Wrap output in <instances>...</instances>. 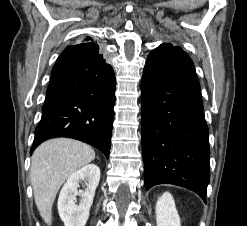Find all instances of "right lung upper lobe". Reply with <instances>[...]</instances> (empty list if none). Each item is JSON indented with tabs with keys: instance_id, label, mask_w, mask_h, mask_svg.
I'll use <instances>...</instances> for the list:
<instances>
[{
	"instance_id": "obj_1",
	"label": "right lung upper lobe",
	"mask_w": 247,
	"mask_h": 226,
	"mask_svg": "<svg viewBox=\"0 0 247 226\" xmlns=\"http://www.w3.org/2000/svg\"><path fill=\"white\" fill-rule=\"evenodd\" d=\"M86 41H92L91 37H86Z\"/></svg>"
}]
</instances>
